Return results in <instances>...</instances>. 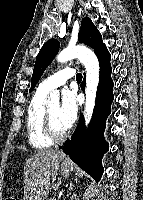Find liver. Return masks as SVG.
<instances>
[{"label":"liver","instance_id":"1","mask_svg":"<svg viewBox=\"0 0 143 200\" xmlns=\"http://www.w3.org/2000/svg\"><path fill=\"white\" fill-rule=\"evenodd\" d=\"M66 155L57 150H39L24 166V200H45L50 189V176L59 169Z\"/></svg>","mask_w":143,"mask_h":200}]
</instances>
